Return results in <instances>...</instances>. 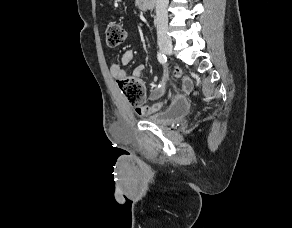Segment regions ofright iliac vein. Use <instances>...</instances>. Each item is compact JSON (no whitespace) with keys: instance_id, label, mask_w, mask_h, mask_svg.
<instances>
[{"instance_id":"1","label":"right iliac vein","mask_w":292,"mask_h":228,"mask_svg":"<svg viewBox=\"0 0 292 228\" xmlns=\"http://www.w3.org/2000/svg\"><path fill=\"white\" fill-rule=\"evenodd\" d=\"M160 49L162 52L171 55L173 53V46L171 42L163 41L159 43Z\"/></svg>"}]
</instances>
